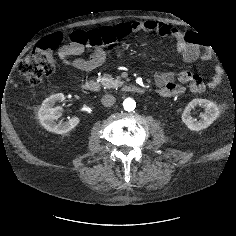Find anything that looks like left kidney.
<instances>
[{
    "label": "left kidney",
    "mask_w": 236,
    "mask_h": 236,
    "mask_svg": "<svg viewBox=\"0 0 236 236\" xmlns=\"http://www.w3.org/2000/svg\"><path fill=\"white\" fill-rule=\"evenodd\" d=\"M196 106H201L205 109V113L201 115L200 120H196L191 116V110ZM219 114L220 110L214 102L196 98L186 106L182 114V121L190 130L200 131L209 127L219 117Z\"/></svg>",
    "instance_id": "5707ae66"
}]
</instances>
